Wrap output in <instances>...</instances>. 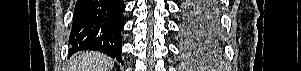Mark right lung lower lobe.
I'll list each match as a JSON object with an SVG mask.
<instances>
[{"label":"right lung lower lobe","mask_w":301,"mask_h":71,"mask_svg":"<svg viewBox=\"0 0 301 71\" xmlns=\"http://www.w3.org/2000/svg\"><path fill=\"white\" fill-rule=\"evenodd\" d=\"M121 0H78L74 9L69 38L70 53L83 50L100 51L121 60L122 15Z\"/></svg>","instance_id":"right-lung-lower-lobe-1"}]
</instances>
